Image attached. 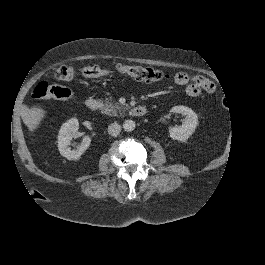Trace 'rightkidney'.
<instances>
[{
    "instance_id": "right-kidney-1",
    "label": "right kidney",
    "mask_w": 265,
    "mask_h": 265,
    "mask_svg": "<svg viewBox=\"0 0 265 265\" xmlns=\"http://www.w3.org/2000/svg\"><path fill=\"white\" fill-rule=\"evenodd\" d=\"M78 127V119L71 118L65 122L59 130L58 149L60 154L66 157L68 160H76L80 158V156L87 150L91 143V139L88 136H85L77 149L71 150L69 145L72 138L77 133Z\"/></svg>"
}]
</instances>
